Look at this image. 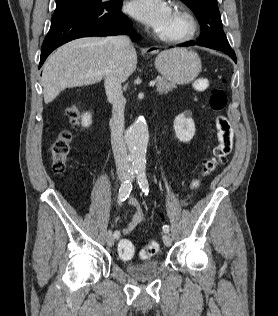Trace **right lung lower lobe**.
<instances>
[{"mask_svg":"<svg viewBox=\"0 0 278 316\" xmlns=\"http://www.w3.org/2000/svg\"><path fill=\"white\" fill-rule=\"evenodd\" d=\"M122 3L123 0H114L54 13L42 45L39 68L54 49L68 41L87 36L126 33L131 28V22L121 12ZM129 34L132 40H138L133 30Z\"/></svg>","mask_w":278,"mask_h":316,"instance_id":"98d812e1","label":"right lung lower lobe"}]
</instances>
